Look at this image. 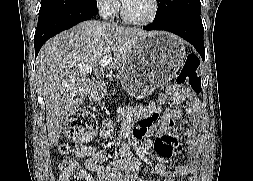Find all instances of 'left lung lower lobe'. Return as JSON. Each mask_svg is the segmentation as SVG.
<instances>
[{
    "label": "left lung lower lobe",
    "mask_w": 253,
    "mask_h": 181,
    "mask_svg": "<svg viewBox=\"0 0 253 181\" xmlns=\"http://www.w3.org/2000/svg\"><path fill=\"white\" fill-rule=\"evenodd\" d=\"M145 30H164L172 32L191 43L204 60L205 49L203 43L204 28L199 16H178L156 22L144 27Z\"/></svg>",
    "instance_id": "1"
}]
</instances>
